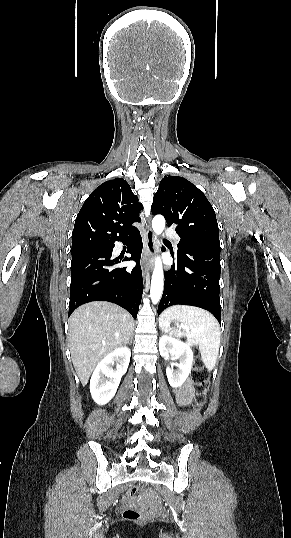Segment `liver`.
I'll use <instances>...</instances> for the list:
<instances>
[{"label":"liver","mask_w":291,"mask_h":538,"mask_svg":"<svg viewBox=\"0 0 291 538\" xmlns=\"http://www.w3.org/2000/svg\"><path fill=\"white\" fill-rule=\"evenodd\" d=\"M68 324L71 359L83 386L103 357L128 344L134 330L132 316L109 302L80 306L72 313Z\"/></svg>","instance_id":"liver-1"}]
</instances>
